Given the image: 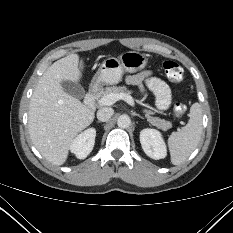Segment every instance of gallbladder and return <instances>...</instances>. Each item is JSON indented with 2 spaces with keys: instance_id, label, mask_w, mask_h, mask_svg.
I'll return each mask as SVG.
<instances>
[{
  "instance_id": "bac80fb5",
  "label": "gallbladder",
  "mask_w": 233,
  "mask_h": 233,
  "mask_svg": "<svg viewBox=\"0 0 233 233\" xmlns=\"http://www.w3.org/2000/svg\"><path fill=\"white\" fill-rule=\"evenodd\" d=\"M61 85H62L63 90L69 95L77 99L84 98L85 90L80 84L76 82H72V81H63Z\"/></svg>"
}]
</instances>
